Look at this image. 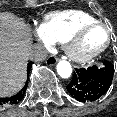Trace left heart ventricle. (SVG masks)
I'll use <instances>...</instances> for the list:
<instances>
[{
	"label": "left heart ventricle",
	"mask_w": 117,
	"mask_h": 117,
	"mask_svg": "<svg viewBox=\"0 0 117 117\" xmlns=\"http://www.w3.org/2000/svg\"><path fill=\"white\" fill-rule=\"evenodd\" d=\"M107 39V32L104 28L94 27L89 29L76 44L80 52H90L103 46Z\"/></svg>",
	"instance_id": "obj_1"
}]
</instances>
